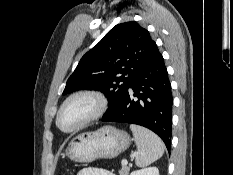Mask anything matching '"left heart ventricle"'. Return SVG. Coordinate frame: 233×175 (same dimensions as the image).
I'll list each match as a JSON object with an SVG mask.
<instances>
[{"mask_svg": "<svg viewBox=\"0 0 233 175\" xmlns=\"http://www.w3.org/2000/svg\"><path fill=\"white\" fill-rule=\"evenodd\" d=\"M94 107L95 104L93 100L89 98H78L72 101L64 109L60 117L61 126L65 129L75 126L88 115H90L94 110Z\"/></svg>", "mask_w": 233, "mask_h": 175, "instance_id": "obj_1", "label": "left heart ventricle"}]
</instances>
